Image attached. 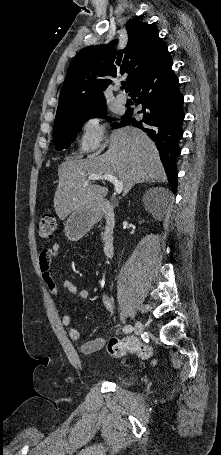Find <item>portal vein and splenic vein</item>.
Segmentation results:
<instances>
[{"label":"portal vein and splenic vein","mask_w":221,"mask_h":455,"mask_svg":"<svg viewBox=\"0 0 221 455\" xmlns=\"http://www.w3.org/2000/svg\"><path fill=\"white\" fill-rule=\"evenodd\" d=\"M88 180H107L114 185L115 194H120L123 191V182L112 174H90Z\"/></svg>","instance_id":"1"}]
</instances>
